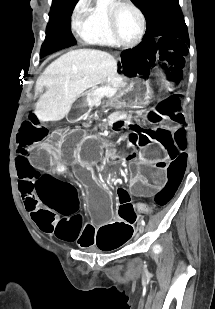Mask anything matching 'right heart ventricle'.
<instances>
[{"instance_id": "1", "label": "right heart ventricle", "mask_w": 215, "mask_h": 309, "mask_svg": "<svg viewBox=\"0 0 215 309\" xmlns=\"http://www.w3.org/2000/svg\"><path fill=\"white\" fill-rule=\"evenodd\" d=\"M81 35L84 39L108 45L113 37L109 29L108 14L104 9H99L98 14H86L80 21Z\"/></svg>"}]
</instances>
